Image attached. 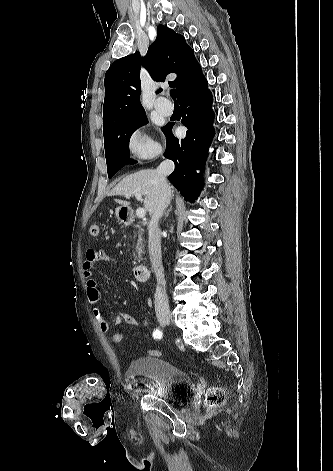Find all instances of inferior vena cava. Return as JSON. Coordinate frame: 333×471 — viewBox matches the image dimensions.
Masks as SVG:
<instances>
[{
	"mask_svg": "<svg viewBox=\"0 0 333 471\" xmlns=\"http://www.w3.org/2000/svg\"><path fill=\"white\" fill-rule=\"evenodd\" d=\"M174 170V163L170 160L163 161L157 167V174L159 180V197L155 204L154 211L148 226L149 239L148 248L150 260L153 270L157 279V286L155 292V312L157 314L169 313V302L166 294V281L164 277V268L162 265L161 254V233L159 229V220L162 217L165 209L171 200V189L167 183V176Z\"/></svg>",
	"mask_w": 333,
	"mask_h": 471,
	"instance_id": "inferior-vena-cava-1",
	"label": "inferior vena cava"
}]
</instances>
